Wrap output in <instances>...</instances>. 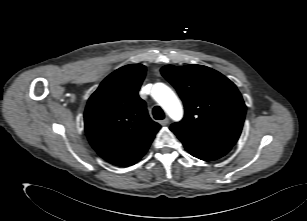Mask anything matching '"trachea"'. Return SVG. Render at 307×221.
<instances>
[{
    "instance_id": "1",
    "label": "trachea",
    "mask_w": 307,
    "mask_h": 221,
    "mask_svg": "<svg viewBox=\"0 0 307 221\" xmlns=\"http://www.w3.org/2000/svg\"><path fill=\"white\" fill-rule=\"evenodd\" d=\"M152 113H153V117L156 120H162L165 117L164 112L160 106H155L152 110Z\"/></svg>"
}]
</instances>
